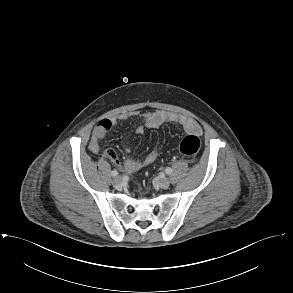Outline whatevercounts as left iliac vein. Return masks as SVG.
<instances>
[{
    "label": "left iliac vein",
    "mask_w": 293,
    "mask_h": 293,
    "mask_svg": "<svg viewBox=\"0 0 293 293\" xmlns=\"http://www.w3.org/2000/svg\"><path fill=\"white\" fill-rule=\"evenodd\" d=\"M157 185L162 189H168L170 186L169 179L162 177L157 180Z\"/></svg>",
    "instance_id": "obj_1"
}]
</instances>
